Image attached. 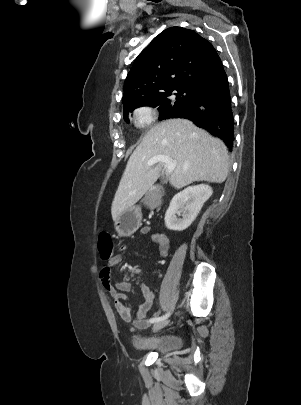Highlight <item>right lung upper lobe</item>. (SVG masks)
<instances>
[{
    "label": "right lung upper lobe",
    "mask_w": 301,
    "mask_h": 405,
    "mask_svg": "<svg viewBox=\"0 0 301 405\" xmlns=\"http://www.w3.org/2000/svg\"><path fill=\"white\" fill-rule=\"evenodd\" d=\"M212 44L194 30L171 27L136 58L124 84L123 111L172 89L201 91L225 76Z\"/></svg>",
    "instance_id": "cb5924a9"
}]
</instances>
